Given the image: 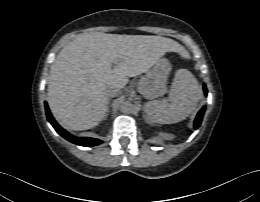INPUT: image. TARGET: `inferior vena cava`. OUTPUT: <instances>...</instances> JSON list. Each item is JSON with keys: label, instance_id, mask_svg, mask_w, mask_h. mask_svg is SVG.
<instances>
[{"label": "inferior vena cava", "instance_id": "inferior-vena-cava-1", "mask_svg": "<svg viewBox=\"0 0 260 202\" xmlns=\"http://www.w3.org/2000/svg\"><path fill=\"white\" fill-rule=\"evenodd\" d=\"M121 93L120 88L114 87L108 90L109 97H115Z\"/></svg>", "mask_w": 260, "mask_h": 202}]
</instances>
